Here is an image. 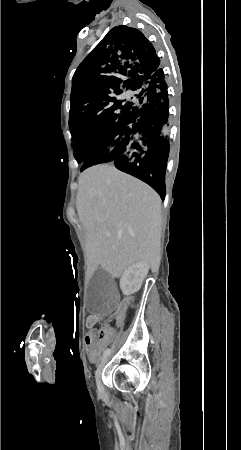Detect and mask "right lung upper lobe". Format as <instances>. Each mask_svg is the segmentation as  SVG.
<instances>
[{
    "mask_svg": "<svg viewBox=\"0 0 241 450\" xmlns=\"http://www.w3.org/2000/svg\"><path fill=\"white\" fill-rule=\"evenodd\" d=\"M159 68L160 59L146 37L135 28L117 26L83 60L73 77L142 96L144 76Z\"/></svg>",
    "mask_w": 241,
    "mask_h": 450,
    "instance_id": "cb5924a9",
    "label": "right lung upper lobe"
}]
</instances>
